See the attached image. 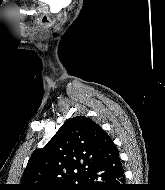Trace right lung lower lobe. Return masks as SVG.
<instances>
[{"label":"right lung lower lobe","mask_w":165,"mask_h":190,"mask_svg":"<svg viewBox=\"0 0 165 190\" xmlns=\"http://www.w3.org/2000/svg\"><path fill=\"white\" fill-rule=\"evenodd\" d=\"M119 154L106 159L86 171L78 190H126Z\"/></svg>","instance_id":"obj_1"}]
</instances>
